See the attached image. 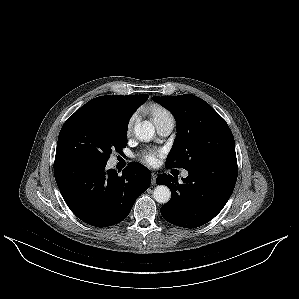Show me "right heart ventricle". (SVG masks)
I'll return each mask as SVG.
<instances>
[{
	"label": "right heart ventricle",
	"mask_w": 299,
	"mask_h": 299,
	"mask_svg": "<svg viewBox=\"0 0 299 299\" xmlns=\"http://www.w3.org/2000/svg\"><path fill=\"white\" fill-rule=\"evenodd\" d=\"M151 113H152L155 123L161 119L171 117L170 112L161 106H154L151 109Z\"/></svg>",
	"instance_id": "obj_1"
}]
</instances>
